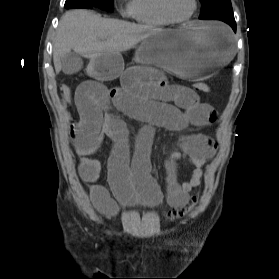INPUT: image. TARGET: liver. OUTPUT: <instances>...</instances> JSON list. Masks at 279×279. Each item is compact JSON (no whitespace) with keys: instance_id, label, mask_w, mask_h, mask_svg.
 <instances>
[{"instance_id":"6515ba94","label":"liver","mask_w":279,"mask_h":279,"mask_svg":"<svg viewBox=\"0 0 279 279\" xmlns=\"http://www.w3.org/2000/svg\"><path fill=\"white\" fill-rule=\"evenodd\" d=\"M163 31L117 19L102 18L88 10H72L60 19L53 43L56 73L62 69L61 59L74 52L94 61L103 54H120Z\"/></svg>"}]
</instances>
